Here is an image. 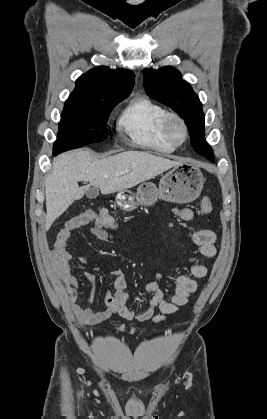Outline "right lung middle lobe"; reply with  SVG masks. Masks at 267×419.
I'll use <instances>...</instances> for the list:
<instances>
[{
    "label": "right lung middle lobe",
    "mask_w": 267,
    "mask_h": 419,
    "mask_svg": "<svg viewBox=\"0 0 267 419\" xmlns=\"http://www.w3.org/2000/svg\"><path fill=\"white\" fill-rule=\"evenodd\" d=\"M128 95L108 99L65 102L53 154L102 142L108 137L106 124L112 109Z\"/></svg>",
    "instance_id": "dd1d6c3e"
}]
</instances>
